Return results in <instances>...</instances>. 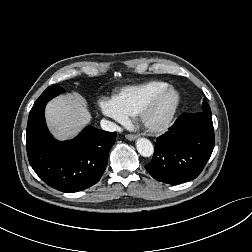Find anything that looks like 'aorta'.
<instances>
[{
	"label": "aorta",
	"mask_w": 252,
	"mask_h": 252,
	"mask_svg": "<svg viewBox=\"0 0 252 252\" xmlns=\"http://www.w3.org/2000/svg\"><path fill=\"white\" fill-rule=\"evenodd\" d=\"M136 148L143 157H150L154 153V147L150 140L146 138H139L136 141Z\"/></svg>",
	"instance_id": "aorta-1"
}]
</instances>
